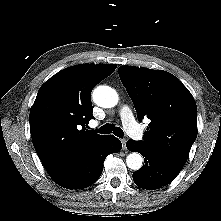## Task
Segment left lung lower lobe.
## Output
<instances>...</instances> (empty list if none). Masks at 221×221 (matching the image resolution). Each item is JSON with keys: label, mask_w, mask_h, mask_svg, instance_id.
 <instances>
[{"label": "left lung lower lobe", "mask_w": 221, "mask_h": 221, "mask_svg": "<svg viewBox=\"0 0 221 221\" xmlns=\"http://www.w3.org/2000/svg\"><path fill=\"white\" fill-rule=\"evenodd\" d=\"M126 146L144 157L145 164L133 173L134 182L140 188L153 190L166 186L183 168L142 141L129 140Z\"/></svg>", "instance_id": "left-lung-lower-lobe-1"}]
</instances>
